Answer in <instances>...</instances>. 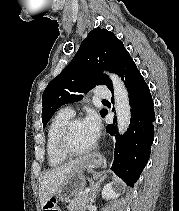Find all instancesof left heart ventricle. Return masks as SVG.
I'll use <instances>...</instances> for the list:
<instances>
[{
  "label": "left heart ventricle",
  "mask_w": 179,
  "mask_h": 211,
  "mask_svg": "<svg viewBox=\"0 0 179 211\" xmlns=\"http://www.w3.org/2000/svg\"><path fill=\"white\" fill-rule=\"evenodd\" d=\"M95 141L88 133L84 122L80 121L73 127L71 133V146L75 150H84L89 148Z\"/></svg>",
  "instance_id": "b2bd125f"
}]
</instances>
